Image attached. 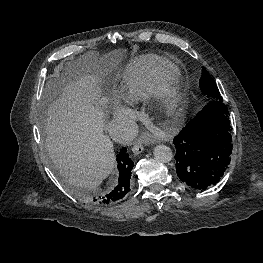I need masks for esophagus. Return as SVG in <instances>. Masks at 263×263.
I'll list each match as a JSON object with an SVG mask.
<instances>
[{"label": "esophagus", "mask_w": 263, "mask_h": 263, "mask_svg": "<svg viewBox=\"0 0 263 263\" xmlns=\"http://www.w3.org/2000/svg\"><path fill=\"white\" fill-rule=\"evenodd\" d=\"M143 150H144V147H143L142 142H140V141L136 142L132 147V152L134 155H138V154L142 153Z\"/></svg>", "instance_id": "1"}]
</instances>
